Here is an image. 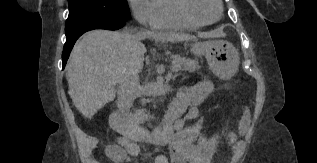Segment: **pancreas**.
I'll return each instance as SVG.
<instances>
[{"label":"pancreas","mask_w":317,"mask_h":163,"mask_svg":"<svg viewBox=\"0 0 317 163\" xmlns=\"http://www.w3.org/2000/svg\"><path fill=\"white\" fill-rule=\"evenodd\" d=\"M173 65H178L184 71L194 72L200 69V65L196 60L190 58L180 57L178 55L173 58ZM147 118L144 110H137L135 114L131 115V120L135 123H141Z\"/></svg>","instance_id":"cf45deb5"}]
</instances>
